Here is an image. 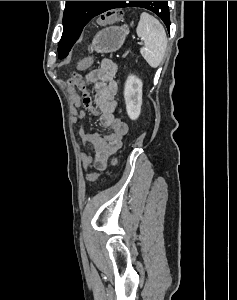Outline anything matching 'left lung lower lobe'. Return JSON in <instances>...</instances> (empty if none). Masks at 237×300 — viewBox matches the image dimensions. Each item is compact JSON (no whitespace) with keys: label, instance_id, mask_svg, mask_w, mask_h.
I'll list each match as a JSON object with an SVG mask.
<instances>
[{"label":"left lung lower lobe","instance_id":"1","mask_svg":"<svg viewBox=\"0 0 237 300\" xmlns=\"http://www.w3.org/2000/svg\"><path fill=\"white\" fill-rule=\"evenodd\" d=\"M167 6H168L167 1H160L161 9H164ZM115 8H120V1H110V3L104 9V12L111 10V9H115ZM168 31H169V29H168Z\"/></svg>","mask_w":237,"mask_h":300}]
</instances>
